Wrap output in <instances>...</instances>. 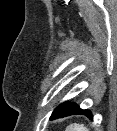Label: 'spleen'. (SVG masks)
<instances>
[{"instance_id":"obj_1","label":"spleen","mask_w":117,"mask_h":131,"mask_svg":"<svg viewBox=\"0 0 117 131\" xmlns=\"http://www.w3.org/2000/svg\"><path fill=\"white\" fill-rule=\"evenodd\" d=\"M66 131H88L83 124H72L67 127Z\"/></svg>"}]
</instances>
